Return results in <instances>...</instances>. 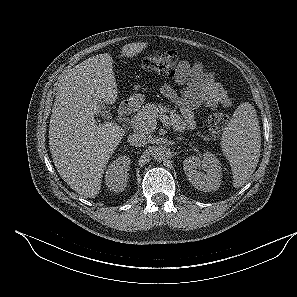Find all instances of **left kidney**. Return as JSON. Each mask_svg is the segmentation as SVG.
I'll list each match as a JSON object with an SVG mask.
<instances>
[{
  "instance_id": "left-kidney-1",
  "label": "left kidney",
  "mask_w": 297,
  "mask_h": 297,
  "mask_svg": "<svg viewBox=\"0 0 297 297\" xmlns=\"http://www.w3.org/2000/svg\"><path fill=\"white\" fill-rule=\"evenodd\" d=\"M203 156V159L196 156L187 157L183 161L184 172L190 183L198 190L216 191L220 187L222 177L220 162L210 152H206Z\"/></svg>"
}]
</instances>
